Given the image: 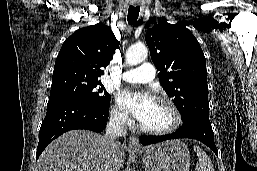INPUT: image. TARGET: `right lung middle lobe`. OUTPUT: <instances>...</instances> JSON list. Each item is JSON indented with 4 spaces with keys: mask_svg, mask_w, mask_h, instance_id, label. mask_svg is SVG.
<instances>
[{
    "mask_svg": "<svg viewBox=\"0 0 257 171\" xmlns=\"http://www.w3.org/2000/svg\"><path fill=\"white\" fill-rule=\"evenodd\" d=\"M98 85H100L99 88ZM64 98L82 99L103 108L110 104V95L101 82L72 83L61 88L51 89L49 101Z\"/></svg>",
    "mask_w": 257,
    "mask_h": 171,
    "instance_id": "1",
    "label": "right lung middle lobe"
}]
</instances>
